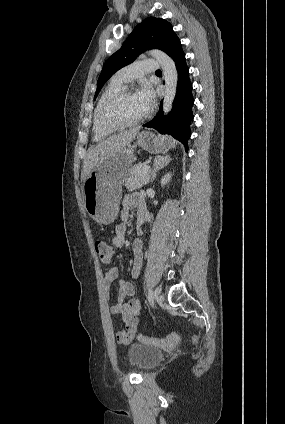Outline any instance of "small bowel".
I'll use <instances>...</instances> for the list:
<instances>
[{
	"instance_id": "c3829d8e",
	"label": "small bowel",
	"mask_w": 285,
	"mask_h": 424,
	"mask_svg": "<svg viewBox=\"0 0 285 424\" xmlns=\"http://www.w3.org/2000/svg\"><path fill=\"white\" fill-rule=\"evenodd\" d=\"M137 209V220H148V213L145 207V201L142 194L133 192L127 194L122 200V209L120 212L121 223L115 228V235L112 244L116 248L125 245L126 221L130 217L131 209ZM134 261L131 268V276L138 278L143 264V244L140 239H135L132 243ZM118 281L119 293L116 304L109 307V313L112 316H121L124 329L115 333V339L119 344L130 343L138 332L140 325L141 301L135 296V287L132 283L120 276L118 267L108 268L103 276V298L108 302L111 298V284Z\"/></svg>"
}]
</instances>
